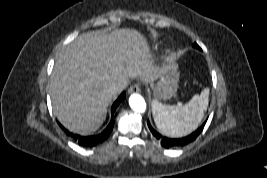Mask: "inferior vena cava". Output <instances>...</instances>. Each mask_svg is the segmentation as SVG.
I'll list each match as a JSON object with an SVG mask.
<instances>
[{
	"mask_svg": "<svg viewBox=\"0 0 267 178\" xmlns=\"http://www.w3.org/2000/svg\"><path fill=\"white\" fill-rule=\"evenodd\" d=\"M107 91L111 95H116V94H118L119 92L122 91V86L117 84V83L111 84V85L108 86Z\"/></svg>",
	"mask_w": 267,
	"mask_h": 178,
	"instance_id": "obj_1",
	"label": "inferior vena cava"
}]
</instances>
